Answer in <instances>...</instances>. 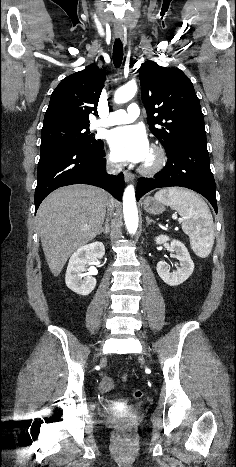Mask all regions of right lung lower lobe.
Returning a JSON list of instances; mask_svg holds the SVG:
<instances>
[{"label":"right lung lower lobe","instance_id":"98d812e1","mask_svg":"<svg viewBox=\"0 0 236 467\" xmlns=\"http://www.w3.org/2000/svg\"><path fill=\"white\" fill-rule=\"evenodd\" d=\"M102 144L88 149L61 144L40 150L35 190V210L53 190L71 184H90L104 188L119 201L124 190V175H108Z\"/></svg>","mask_w":236,"mask_h":467}]
</instances>
